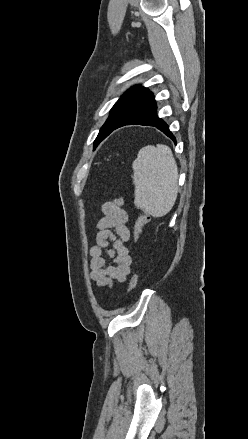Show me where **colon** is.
I'll return each instance as SVG.
<instances>
[{"label": "colon", "instance_id": "obj_1", "mask_svg": "<svg viewBox=\"0 0 248 439\" xmlns=\"http://www.w3.org/2000/svg\"><path fill=\"white\" fill-rule=\"evenodd\" d=\"M150 221V216L147 212L142 211L137 218V221L134 226V243H138L141 237L144 226ZM139 275L135 272L129 282L128 291L132 292L136 289L138 284Z\"/></svg>", "mask_w": 248, "mask_h": 439}]
</instances>
